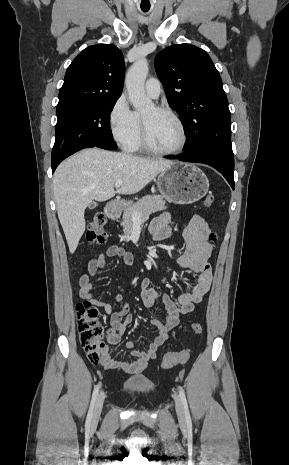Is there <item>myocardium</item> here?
I'll list each match as a JSON object with an SVG mask.
<instances>
[{"label":"myocardium","mask_w":289,"mask_h":465,"mask_svg":"<svg viewBox=\"0 0 289 465\" xmlns=\"http://www.w3.org/2000/svg\"><path fill=\"white\" fill-rule=\"evenodd\" d=\"M154 108L157 111L164 112L170 115L176 121L181 131V136H182L181 143L177 148L172 149V150H162V149H158L154 147L150 142L145 121L141 116V142H142L143 148L147 152L151 154L159 155V156H171V155L179 154L185 149L187 142H188V133H187V129H186V126L183 120L178 115V113H176L172 108L166 105H156L154 106Z\"/></svg>","instance_id":"f54148a6"}]
</instances>
